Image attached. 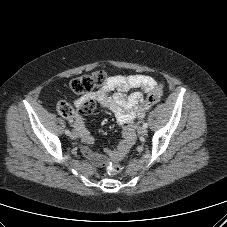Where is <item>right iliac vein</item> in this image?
Wrapping results in <instances>:
<instances>
[{
    "mask_svg": "<svg viewBox=\"0 0 227 227\" xmlns=\"http://www.w3.org/2000/svg\"><path fill=\"white\" fill-rule=\"evenodd\" d=\"M78 132L76 130H73L71 133H70V137L71 139H77L78 138Z\"/></svg>",
    "mask_w": 227,
    "mask_h": 227,
    "instance_id": "right-iliac-vein-1",
    "label": "right iliac vein"
}]
</instances>
